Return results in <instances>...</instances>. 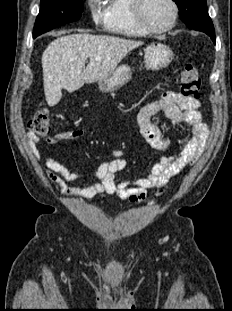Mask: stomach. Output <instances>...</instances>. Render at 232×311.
<instances>
[{
    "instance_id": "obj_1",
    "label": "stomach",
    "mask_w": 232,
    "mask_h": 311,
    "mask_svg": "<svg viewBox=\"0 0 232 311\" xmlns=\"http://www.w3.org/2000/svg\"><path fill=\"white\" fill-rule=\"evenodd\" d=\"M173 59V51L162 43H152L144 50V64L147 70L163 69L167 67ZM130 79V67L122 65L108 77L98 81V88L102 92H111L122 87Z\"/></svg>"
}]
</instances>
